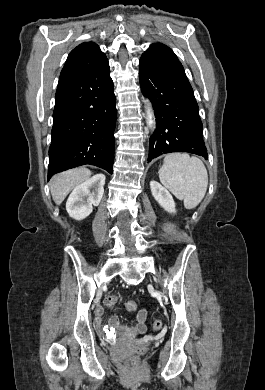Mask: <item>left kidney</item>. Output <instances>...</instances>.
Returning a JSON list of instances; mask_svg holds the SVG:
<instances>
[{
	"mask_svg": "<svg viewBox=\"0 0 265 390\" xmlns=\"http://www.w3.org/2000/svg\"><path fill=\"white\" fill-rule=\"evenodd\" d=\"M150 188L154 199L169 213H175V202L170 192L155 180L150 182Z\"/></svg>",
	"mask_w": 265,
	"mask_h": 390,
	"instance_id": "1",
	"label": "left kidney"
}]
</instances>
